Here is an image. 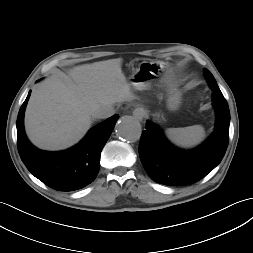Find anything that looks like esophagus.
Masks as SVG:
<instances>
[{"label":"esophagus","mask_w":253,"mask_h":253,"mask_svg":"<svg viewBox=\"0 0 253 253\" xmlns=\"http://www.w3.org/2000/svg\"><path fill=\"white\" fill-rule=\"evenodd\" d=\"M144 111L142 109H136L134 112H133V116L135 119L139 120V121H142L143 118H144Z\"/></svg>","instance_id":"obj_1"}]
</instances>
